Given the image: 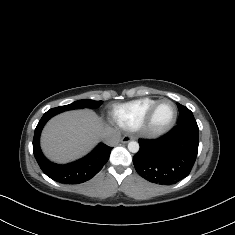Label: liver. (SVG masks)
Instances as JSON below:
<instances>
[{
	"label": "liver",
	"mask_w": 235,
	"mask_h": 235,
	"mask_svg": "<svg viewBox=\"0 0 235 235\" xmlns=\"http://www.w3.org/2000/svg\"><path fill=\"white\" fill-rule=\"evenodd\" d=\"M110 129L90 109L67 111L47 122L41 134V149L49 160L65 164L90 152Z\"/></svg>",
	"instance_id": "obj_1"
}]
</instances>
